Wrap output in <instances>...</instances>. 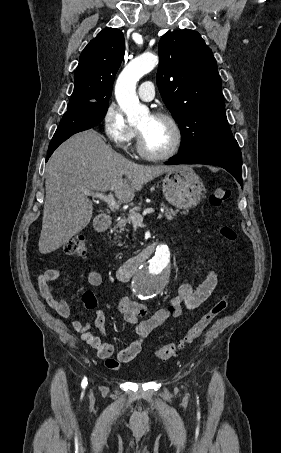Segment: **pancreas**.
I'll use <instances>...</instances> for the list:
<instances>
[{
	"label": "pancreas",
	"instance_id": "obj_1",
	"mask_svg": "<svg viewBox=\"0 0 281 453\" xmlns=\"http://www.w3.org/2000/svg\"><path fill=\"white\" fill-rule=\"evenodd\" d=\"M140 204H142V202H139L138 206H133V208H131V212H138V210H141ZM161 206L162 208H164V210L163 212H159V216H166L168 220H171L173 216H176L177 210H173V208H167L166 204H161ZM130 220L131 218H120L117 224H115L114 231H116V233H123V231H125L126 229L127 222H129L130 224ZM117 229H119V231H117Z\"/></svg>",
	"mask_w": 281,
	"mask_h": 453
}]
</instances>
